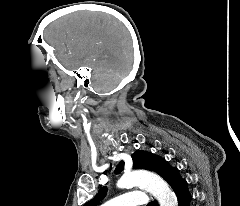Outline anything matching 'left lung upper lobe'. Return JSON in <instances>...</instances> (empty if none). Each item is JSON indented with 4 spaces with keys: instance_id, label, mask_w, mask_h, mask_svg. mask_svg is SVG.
I'll list each match as a JSON object with an SVG mask.
<instances>
[{
    "instance_id": "left-lung-upper-lobe-1",
    "label": "left lung upper lobe",
    "mask_w": 240,
    "mask_h": 206,
    "mask_svg": "<svg viewBox=\"0 0 240 206\" xmlns=\"http://www.w3.org/2000/svg\"><path fill=\"white\" fill-rule=\"evenodd\" d=\"M133 168L134 169H146L156 172L161 177H164L166 170L170 167L167 161L152 153L143 151H136L132 154ZM124 162L121 161L116 167V173H120L123 170ZM107 188L101 187L95 198L85 203L84 206H97L105 197Z\"/></svg>"
}]
</instances>
